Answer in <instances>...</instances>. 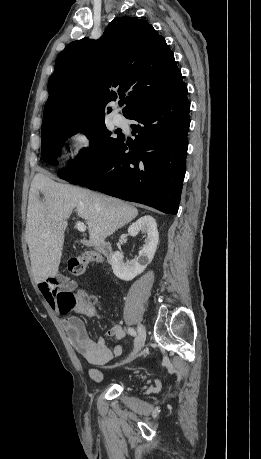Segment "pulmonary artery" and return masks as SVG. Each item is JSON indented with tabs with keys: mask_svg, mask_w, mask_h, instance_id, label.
<instances>
[{
	"mask_svg": "<svg viewBox=\"0 0 261 459\" xmlns=\"http://www.w3.org/2000/svg\"><path fill=\"white\" fill-rule=\"evenodd\" d=\"M113 120L117 126H123L126 124V120L122 114H115Z\"/></svg>",
	"mask_w": 261,
	"mask_h": 459,
	"instance_id": "pulmonary-artery-1",
	"label": "pulmonary artery"
}]
</instances>
